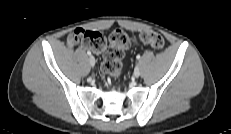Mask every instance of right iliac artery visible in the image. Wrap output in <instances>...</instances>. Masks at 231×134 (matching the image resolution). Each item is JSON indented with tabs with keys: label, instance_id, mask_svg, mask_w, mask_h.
<instances>
[{
	"label": "right iliac artery",
	"instance_id": "82829eb1",
	"mask_svg": "<svg viewBox=\"0 0 231 134\" xmlns=\"http://www.w3.org/2000/svg\"><path fill=\"white\" fill-rule=\"evenodd\" d=\"M87 54H88V55H91V52H90V51H87Z\"/></svg>",
	"mask_w": 231,
	"mask_h": 134
}]
</instances>
